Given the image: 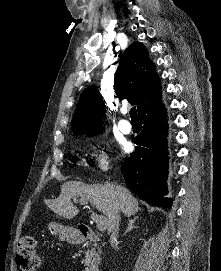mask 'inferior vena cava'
<instances>
[{
  "mask_svg": "<svg viewBox=\"0 0 221 271\" xmlns=\"http://www.w3.org/2000/svg\"><path fill=\"white\" fill-rule=\"evenodd\" d=\"M120 217H121L120 213H116L113 225L111 227L110 243L113 249H119L117 245L118 243L117 239L119 233Z\"/></svg>",
  "mask_w": 221,
  "mask_h": 271,
  "instance_id": "inferior-vena-cava-1",
  "label": "inferior vena cava"
}]
</instances>
